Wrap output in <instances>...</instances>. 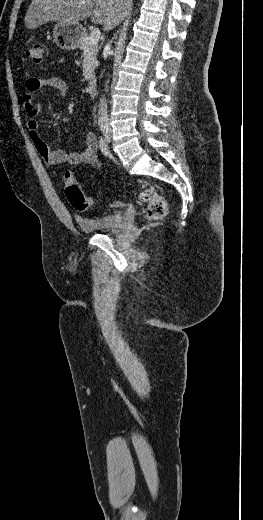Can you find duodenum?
I'll list each match as a JSON object with an SVG mask.
<instances>
[{"label":"duodenum","instance_id":"obj_1","mask_svg":"<svg viewBox=\"0 0 263 520\" xmlns=\"http://www.w3.org/2000/svg\"><path fill=\"white\" fill-rule=\"evenodd\" d=\"M87 90L90 96H95L97 93V81L95 79H90L87 84Z\"/></svg>","mask_w":263,"mask_h":520}]
</instances>
